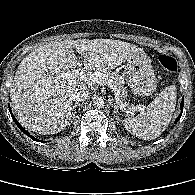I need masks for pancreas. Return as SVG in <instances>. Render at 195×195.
<instances>
[{"instance_id": "obj_1", "label": "pancreas", "mask_w": 195, "mask_h": 195, "mask_svg": "<svg viewBox=\"0 0 195 195\" xmlns=\"http://www.w3.org/2000/svg\"><path fill=\"white\" fill-rule=\"evenodd\" d=\"M97 74H105L109 79L112 80L113 85H115L119 91H120V98L122 102L125 104V106H129V103L126 102L127 98V91L126 88L124 87V78L120 76L117 72H111V71H101L98 72Z\"/></svg>"}]
</instances>
